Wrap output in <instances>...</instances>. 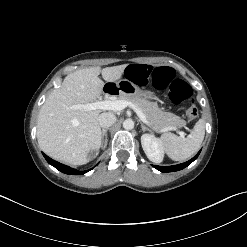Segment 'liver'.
<instances>
[{
	"label": "liver",
	"mask_w": 247,
	"mask_h": 247,
	"mask_svg": "<svg viewBox=\"0 0 247 247\" xmlns=\"http://www.w3.org/2000/svg\"><path fill=\"white\" fill-rule=\"evenodd\" d=\"M127 64L90 67L67 75L61 86L47 97L40 109L37 139L40 148L51 158L72 164L89 162L88 153L98 151L102 143L99 125L100 110L86 111L72 108L98 99L104 82H115L122 76Z\"/></svg>",
	"instance_id": "6515ba94"
}]
</instances>
